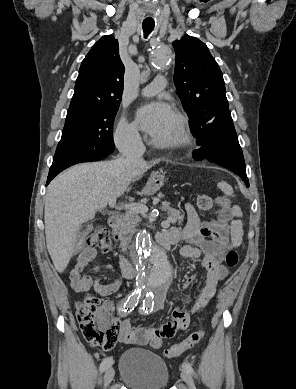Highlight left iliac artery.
<instances>
[{
	"instance_id": "1",
	"label": "left iliac artery",
	"mask_w": 296,
	"mask_h": 389,
	"mask_svg": "<svg viewBox=\"0 0 296 389\" xmlns=\"http://www.w3.org/2000/svg\"><path fill=\"white\" fill-rule=\"evenodd\" d=\"M150 295V293L148 294H146V300L144 299L143 300V311L145 310V313L147 312L148 313V309H150V304L148 303V296ZM151 296H152V293H151ZM153 297V296H152ZM152 310V309H151ZM182 367H183V369H185V370H187L188 372H190L191 374H194V370H193V368H192V366H191V364H189V363H187V362H184L183 364H182Z\"/></svg>"
}]
</instances>
